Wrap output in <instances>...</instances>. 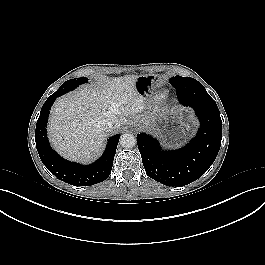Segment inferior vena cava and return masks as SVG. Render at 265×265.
<instances>
[{
  "mask_svg": "<svg viewBox=\"0 0 265 265\" xmlns=\"http://www.w3.org/2000/svg\"><path fill=\"white\" fill-rule=\"evenodd\" d=\"M119 126V121L115 117L106 118L99 123V127L105 132H109Z\"/></svg>",
  "mask_w": 265,
  "mask_h": 265,
  "instance_id": "1",
  "label": "inferior vena cava"
}]
</instances>
